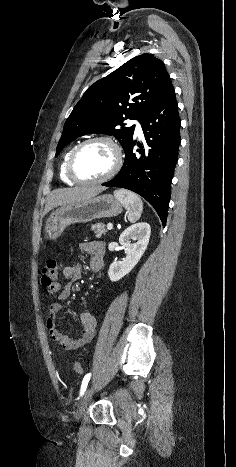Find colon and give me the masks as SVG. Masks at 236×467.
Returning <instances> with one entry per match:
<instances>
[{
    "label": "colon",
    "mask_w": 236,
    "mask_h": 467,
    "mask_svg": "<svg viewBox=\"0 0 236 467\" xmlns=\"http://www.w3.org/2000/svg\"><path fill=\"white\" fill-rule=\"evenodd\" d=\"M60 269L59 261L56 259H48L42 267V285L50 289L52 288L57 280ZM74 371L78 374L83 372V367L80 362L76 361L73 365Z\"/></svg>",
    "instance_id": "colon-1"
}]
</instances>
